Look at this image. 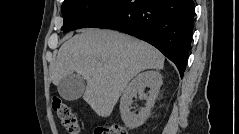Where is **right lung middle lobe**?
Wrapping results in <instances>:
<instances>
[{"instance_id":"right-lung-middle-lobe-1","label":"right lung middle lobe","mask_w":239,"mask_h":134,"mask_svg":"<svg viewBox=\"0 0 239 134\" xmlns=\"http://www.w3.org/2000/svg\"><path fill=\"white\" fill-rule=\"evenodd\" d=\"M116 0H64L61 11L64 32L83 28L97 13Z\"/></svg>"}]
</instances>
